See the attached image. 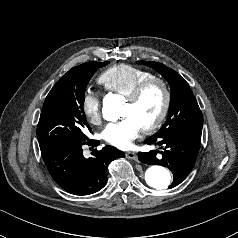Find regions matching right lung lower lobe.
I'll return each mask as SVG.
<instances>
[{
	"mask_svg": "<svg viewBox=\"0 0 238 238\" xmlns=\"http://www.w3.org/2000/svg\"><path fill=\"white\" fill-rule=\"evenodd\" d=\"M97 146L99 141L88 139L66 144L42 154V158L55 182L74 195H89L99 191L107 182V166L116 158L125 157L122 151L112 146L95 149L92 157L83 156L82 145Z\"/></svg>",
	"mask_w": 238,
	"mask_h": 238,
	"instance_id": "1",
	"label": "right lung lower lobe"
}]
</instances>
